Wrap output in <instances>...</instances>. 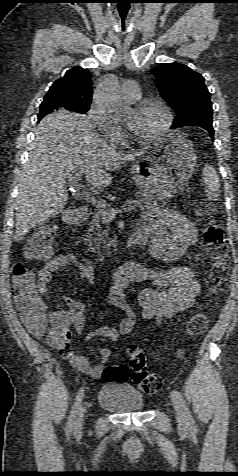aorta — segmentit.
<instances>
[{"mask_svg":"<svg viewBox=\"0 0 238 476\" xmlns=\"http://www.w3.org/2000/svg\"><path fill=\"white\" fill-rule=\"evenodd\" d=\"M96 103L99 109L112 120H118L130 111L121 100L118 83L114 76H108L101 82L96 92Z\"/></svg>","mask_w":238,"mask_h":476,"instance_id":"obj_1","label":"aorta"}]
</instances>
